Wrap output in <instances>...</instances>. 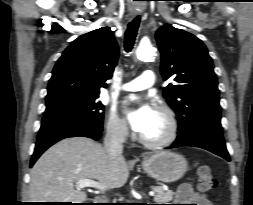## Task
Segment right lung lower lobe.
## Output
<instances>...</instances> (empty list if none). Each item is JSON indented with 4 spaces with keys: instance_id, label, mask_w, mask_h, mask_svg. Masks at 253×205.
<instances>
[{
    "instance_id": "98d812e1",
    "label": "right lung lower lobe",
    "mask_w": 253,
    "mask_h": 205,
    "mask_svg": "<svg viewBox=\"0 0 253 205\" xmlns=\"http://www.w3.org/2000/svg\"><path fill=\"white\" fill-rule=\"evenodd\" d=\"M102 127V124L98 125L73 120L42 121L30 167L33 166L46 149L59 140L75 136L98 140L101 137Z\"/></svg>"
}]
</instances>
